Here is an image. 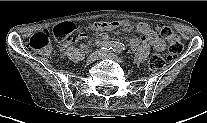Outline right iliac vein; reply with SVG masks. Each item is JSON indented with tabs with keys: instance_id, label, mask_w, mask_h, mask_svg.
I'll return each mask as SVG.
<instances>
[{
	"instance_id": "obj_1",
	"label": "right iliac vein",
	"mask_w": 207,
	"mask_h": 123,
	"mask_svg": "<svg viewBox=\"0 0 207 123\" xmlns=\"http://www.w3.org/2000/svg\"><path fill=\"white\" fill-rule=\"evenodd\" d=\"M101 54H102V53H101L100 51H94L93 53H91V54L88 56L86 62H87V63H92V62H94V61L100 59V58H101Z\"/></svg>"
}]
</instances>
